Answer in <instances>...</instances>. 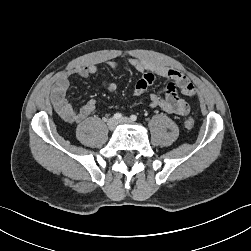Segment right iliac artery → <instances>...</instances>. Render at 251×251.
<instances>
[{
	"instance_id": "right-iliac-artery-1",
	"label": "right iliac artery",
	"mask_w": 251,
	"mask_h": 251,
	"mask_svg": "<svg viewBox=\"0 0 251 251\" xmlns=\"http://www.w3.org/2000/svg\"><path fill=\"white\" fill-rule=\"evenodd\" d=\"M113 117L115 119H121L122 118V114L121 113H115Z\"/></svg>"
}]
</instances>
